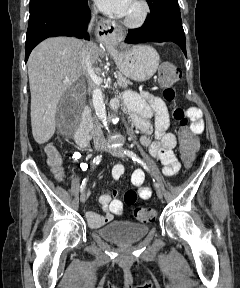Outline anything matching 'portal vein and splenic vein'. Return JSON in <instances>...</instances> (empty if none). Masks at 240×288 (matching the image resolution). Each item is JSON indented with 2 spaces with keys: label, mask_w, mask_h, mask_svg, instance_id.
<instances>
[{
  "label": "portal vein and splenic vein",
  "mask_w": 240,
  "mask_h": 288,
  "mask_svg": "<svg viewBox=\"0 0 240 288\" xmlns=\"http://www.w3.org/2000/svg\"><path fill=\"white\" fill-rule=\"evenodd\" d=\"M115 77H117V76H115ZM66 81H68V80H67V79H65V80H64V82H66Z\"/></svg>",
  "instance_id": "obj_1"
}]
</instances>
